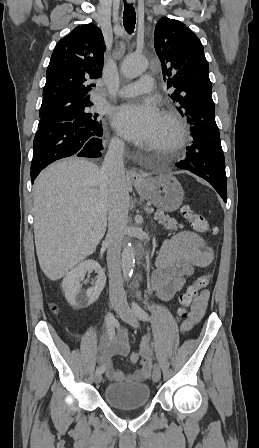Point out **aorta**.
<instances>
[{"label":"aorta","instance_id":"1","mask_svg":"<svg viewBox=\"0 0 259 448\" xmlns=\"http://www.w3.org/2000/svg\"><path fill=\"white\" fill-rule=\"evenodd\" d=\"M147 68V60L141 55H128L122 64V73L127 78L141 75ZM135 265V248L131 243L126 245L122 252V271L126 281L133 274Z\"/></svg>","mask_w":259,"mask_h":448}]
</instances>
